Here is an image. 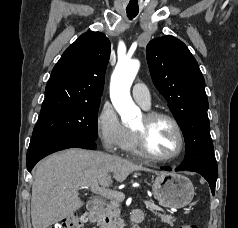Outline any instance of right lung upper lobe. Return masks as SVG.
I'll list each match as a JSON object with an SVG mask.
<instances>
[{
  "mask_svg": "<svg viewBox=\"0 0 238 228\" xmlns=\"http://www.w3.org/2000/svg\"><path fill=\"white\" fill-rule=\"evenodd\" d=\"M110 41L100 32L82 34L54 66L40 115L63 107L100 103Z\"/></svg>",
  "mask_w": 238,
  "mask_h": 228,
  "instance_id": "cb5924a9",
  "label": "right lung upper lobe"
}]
</instances>
